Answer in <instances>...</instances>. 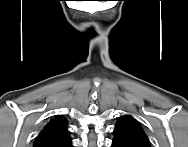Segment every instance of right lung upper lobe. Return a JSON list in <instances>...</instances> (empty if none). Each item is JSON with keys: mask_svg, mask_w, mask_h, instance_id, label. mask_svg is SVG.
Returning <instances> with one entry per match:
<instances>
[{"mask_svg": "<svg viewBox=\"0 0 188 147\" xmlns=\"http://www.w3.org/2000/svg\"><path fill=\"white\" fill-rule=\"evenodd\" d=\"M34 147H72L65 118L55 116L36 137Z\"/></svg>", "mask_w": 188, "mask_h": 147, "instance_id": "cb5924a9", "label": "right lung upper lobe"}]
</instances>
